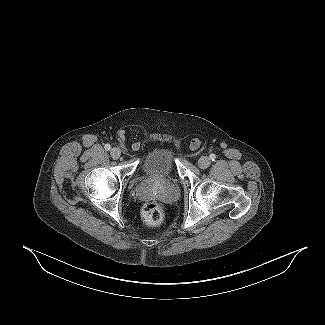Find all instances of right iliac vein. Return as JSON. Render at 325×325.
<instances>
[{
	"mask_svg": "<svg viewBox=\"0 0 325 325\" xmlns=\"http://www.w3.org/2000/svg\"><path fill=\"white\" fill-rule=\"evenodd\" d=\"M113 159H118L121 156V150L117 147L113 148L110 152Z\"/></svg>",
	"mask_w": 325,
	"mask_h": 325,
	"instance_id": "obj_1",
	"label": "right iliac vein"
}]
</instances>
